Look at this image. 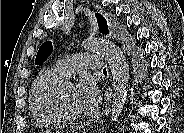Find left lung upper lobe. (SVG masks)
<instances>
[{
  "label": "left lung upper lobe",
  "mask_w": 184,
  "mask_h": 133,
  "mask_svg": "<svg viewBox=\"0 0 184 133\" xmlns=\"http://www.w3.org/2000/svg\"><path fill=\"white\" fill-rule=\"evenodd\" d=\"M95 16L97 18L99 31L102 34H108L109 30H108L106 19L99 13H96ZM115 32H118V29H115ZM52 49L53 47L50 41L44 42L38 50V53L35 59V64L38 65L43 63L48 58V56L52 53ZM133 59H134V64H136V56H134Z\"/></svg>",
  "instance_id": "1"
}]
</instances>
